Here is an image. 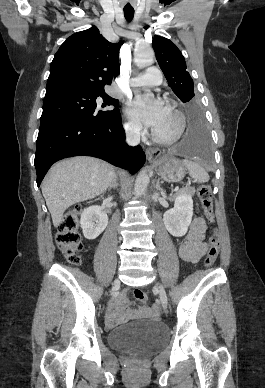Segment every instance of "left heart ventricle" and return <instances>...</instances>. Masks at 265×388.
I'll return each instance as SVG.
<instances>
[{
    "instance_id": "obj_1",
    "label": "left heart ventricle",
    "mask_w": 265,
    "mask_h": 388,
    "mask_svg": "<svg viewBox=\"0 0 265 388\" xmlns=\"http://www.w3.org/2000/svg\"><path fill=\"white\" fill-rule=\"evenodd\" d=\"M143 92H154L156 88L154 86H140L139 88ZM156 130L161 134H170L175 129V120L170 112L166 109L163 118L161 121L155 126Z\"/></svg>"
}]
</instances>
